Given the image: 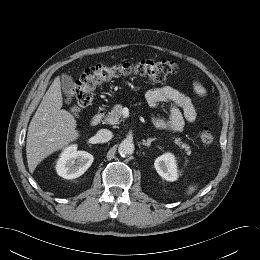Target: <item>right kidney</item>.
Wrapping results in <instances>:
<instances>
[{"label": "right kidney", "instance_id": "obj_1", "mask_svg": "<svg viewBox=\"0 0 260 260\" xmlns=\"http://www.w3.org/2000/svg\"><path fill=\"white\" fill-rule=\"evenodd\" d=\"M93 156L86 151H77V145L63 150L56 164L57 174L65 179L80 177L91 166Z\"/></svg>", "mask_w": 260, "mask_h": 260}]
</instances>
